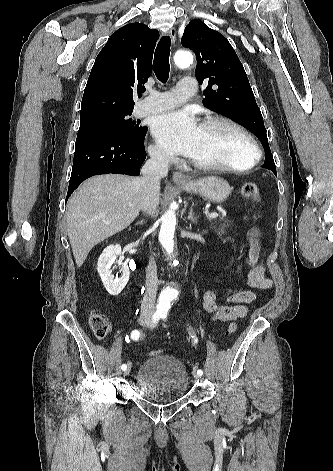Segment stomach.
I'll return each mask as SVG.
<instances>
[{
  "label": "stomach",
  "instance_id": "1",
  "mask_svg": "<svg viewBox=\"0 0 333 471\" xmlns=\"http://www.w3.org/2000/svg\"><path fill=\"white\" fill-rule=\"evenodd\" d=\"M177 185L186 192L198 194L215 203L224 202L231 194L232 190L225 179L217 176L190 180L188 183Z\"/></svg>",
  "mask_w": 333,
  "mask_h": 471
}]
</instances>
